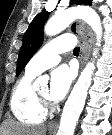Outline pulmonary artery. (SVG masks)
Segmentation results:
<instances>
[{
	"instance_id": "e3ab8cb5",
	"label": "pulmonary artery",
	"mask_w": 112,
	"mask_h": 135,
	"mask_svg": "<svg viewBox=\"0 0 112 135\" xmlns=\"http://www.w3.org/2000/svg\"><path fill=\"white\" fill-rule=\"evenodd\" d=\"M75 44V38L71 34H64L49 41L30 60L26 71L37 75L55 66L60 61V54L72 50Z\"/></svg>"
}]
</instances>
